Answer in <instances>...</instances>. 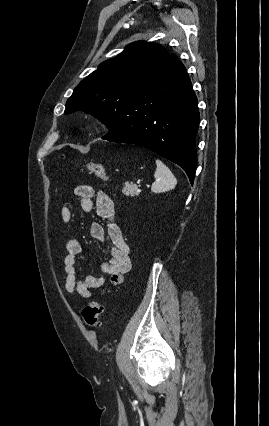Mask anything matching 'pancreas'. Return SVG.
Masks as SVG:
<instances>
[{
	"label": "pancreas",
	"instance_id": "obj_1",
	"mask_svg": "<svg viewBox=\"0 0 269 426\" xmlns=\"http://www.w3.org/2000/svg\"><path fill=\"white\" fill-rule=\"evenodd\" d=\"M122 193L126 196H138L140 192L138 191V187L136 184L125 183L123 186Z\"/></svg>",
	"mask_w": 269,
	"mask_h": 426
}]
</instances>
